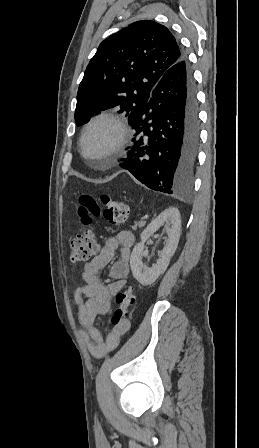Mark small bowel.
<instances>
[{"instance_id":"1","label":"small bowel","mask_w":259,"mask_h":448,"mask_svg":"<svg viewBox=\"0 0 259 448\" xmlns=\"http://www.w3.org/2000/svg\"><path fill=\"white\" fill-rule=\"evenodd\" d=\"M134 236L129 231H122L108 238L99 253L82 269L81 277L84 285L80 286L74 295L78 307L79 321L83 327L81 336L87 344L90 354L97 358L105 357L119 344L120 338L130 329L129 320L111 327L103 337L95 324L98 315L110 312L112 296L119 293L126 285L130 271L131 249ZM119 258L114 260L116 252ZM112 262L109 276L112 282L105 285L100 277V271Z\"/></svg>"}]
</instances>
